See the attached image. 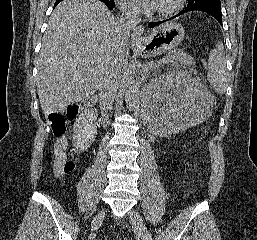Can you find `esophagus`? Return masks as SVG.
<instances>
[{
	"label": "esophagus",
	"instance_id": "esophagus-1",
	"mask_svg": "<svg viewBox=\"0 0 257 240\" xmlns=\"http://www.w3.org/2000/svg\"><path fill=\"white\" fill-rule=\"evenodd\" d=\"M143 31H144V27L141 24L134 28V30L131 34V37H130V41H131L132 44H139V43L142 42Z\"/></svg>",
	"mask_w": 257,
	"mask_h": 240
}]
</instances>
